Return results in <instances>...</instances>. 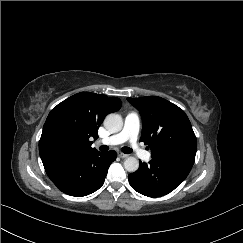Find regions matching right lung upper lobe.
<instances>
[{"mask_svg":"<svg viewBox=\"0 0 243 243\" xmlns=\"http://www.w3.org/2000/svg\"><path fill=\"white\" fill-rule=\"evenodd\" d=\"M120 107L119 98H108L106 95L90 92L75 94L59 103L49 113L39 142L43 165L82 157L97 151L91 147V138H98V128L106 115L118 111ZM53 129L65 131L71 139L70 147L59 157L49 156L42 147L45 135Z\"/></svg>","mask_w":243,"mask_h":243,"instance_id":"1","label":"right lung upper lobe"}]
</instances>
